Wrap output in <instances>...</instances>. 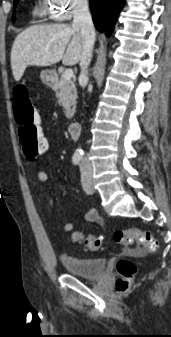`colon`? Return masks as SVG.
Masks as SVG:
<instances>
[{"label": "colon", "mask_w": 171, "mask_h": 337, "mask_svg": "<svg viewBox=\"0 0 171 337\" xmlns=\"http://www.w3.org/2000/svg\"><path fill=\"white\" fill-rule=\"evenodd\" d=\"M13 107L20 144L26 159L33 162L45 151H52L53 145L48 144V137H45L43 127L39 126L38 115L25 87H18L15 90ZM70 238L72 242L82 243L85 249L92 251L99 250L102 245L98 237L85 235L80 231H74ZM113 240L126 250L135 253L154 252L158 248L157 240L151 232L139 229L116 231L113 234ZM116 269L119 275L116 288L119 292H126L136 272V266L129 259H121Z\"/></svg>", "instance_id": "1"}]
</instances>
